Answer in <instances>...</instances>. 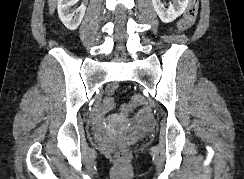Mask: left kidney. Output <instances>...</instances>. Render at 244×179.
I'll use <instances>...</instances> for the list:
<instances>
[{
  "label": "left kidney",
  "instance_id": "5707ae66",
  "mask_svg": "<svg viewBox=\"0 0 244 179\" xmlns=\"http://www.w3.org/2000/svg\"><path fill=\"white\" fill-rule=\"evenodd\" d=\"M152 4L160 20L164 24H169V22H174L178 16H181L185 12L188 6V0H174L173 4H170L167 10H165L161 0H152Z\"/></svg>",
  "mask_w": 244,
  "mask_h": 179
}]
</instances>
